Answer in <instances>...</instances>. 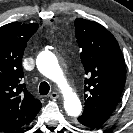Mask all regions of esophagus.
Segmentation results:
<instances>
[{
	"label": "esophagus",
	"instance_id": "obj_1",
	"mask_svg": "<svg viewBox=\"0 0 133 133\" xmlns=\"http://www.w3.org/2000/svg\"><path fill=\"white\" fill-rule=\"evenodd\" d=\"M49 97L51 99H57L59 97V94L57 92H52V93H50Z\"/></svg>",
	"mask_w": 133,
	"mask_h": 133
}]
</instances>
